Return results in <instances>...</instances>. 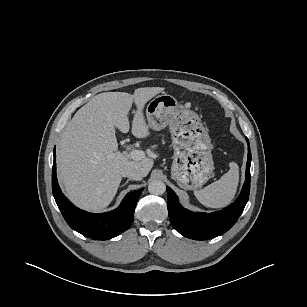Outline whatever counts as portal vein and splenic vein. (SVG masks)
<instances>
[{
  "label": "portal vein and splenic vein",
  "mask_w": 307,
  "mask_h": 307,
  "mask_svg": "<svg viewBox=\"0 0 307 307\" xmlns=\"http://www.w3.org/2000/svg\"><path fill=\"white\" fill-rule=\"evenodd\" d=\"M145 153L144 151L141 150H132L130 152V158L136 161H141L145 158Z\"/></svg>",
  "instance_id": "18ae733b"
}]
</instances>
